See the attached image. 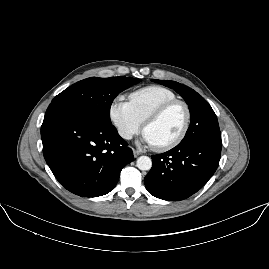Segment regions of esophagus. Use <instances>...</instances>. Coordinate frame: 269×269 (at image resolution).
I'll return each instance as SVG.
<instances>
[{"instance_id":"esophagus-1","label":"esophagus","mask_w":269,"mask_h":269,"mask_svg":"<svg viewBox=\"0 0 269 269\" xmlns=\"http://www.w3.org/2000/svg\"><path fill=\"white\" fill-rule=\"evenodd\" d=\"M133 153H134V157H138L139 155H141V153L135 149H133Z\"/></svg>"}]
</instances>
